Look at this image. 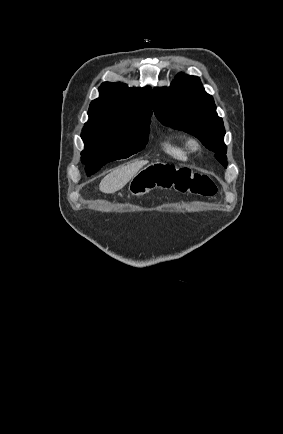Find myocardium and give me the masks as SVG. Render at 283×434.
<instances>
[{
    "instance_id": "myocardium-1",
    "label": "myocardium",
    "mask_w": 283,
    "mask_h": 434,
    "mask_svg": "<svg viewBox=\"0 0 283 434\" xmlns=\"http://www.w3.org/2000/svg\"><path fill=\"white\" fill-rule=\"evenodd\" d=\"M187 146L191 151H199L202 147L200 140L196 137H191L187 140Z\"/></svg>"
}]
</instances>
